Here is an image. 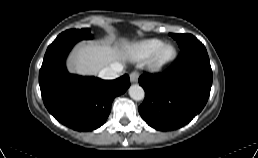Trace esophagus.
<instances>
[{"label":"esophagus","mask_w":258,"mask_h":158,"mask_svg":"<svg viewBox=\"0 0 258 158\" xmlns=\"http://www.w3.org/2000/svg\"><path fill=\"white\" fill-rule=\"evenodd\" d=\"M138 78H139V73H138V72L134 71V72H132V73L130 74V81H131L132 83L137 82V81H138Z\"/></svg>","instance_id":"1"}]
</instances>
